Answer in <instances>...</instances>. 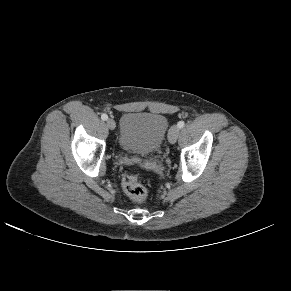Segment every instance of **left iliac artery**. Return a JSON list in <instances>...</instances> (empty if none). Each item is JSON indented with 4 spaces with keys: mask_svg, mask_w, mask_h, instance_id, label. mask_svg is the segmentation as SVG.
<instances>
[{
    "mask_svg": "<svg viewBox=\"0 0 291 291\" xmlns=\"http://www.w3.org/2000/svg\"><path fill=\"white\" fill-rule=\"evenodd\" d=\"M177 126L181 129L185 126V122L184 121H179Z\"/></svg>",
    "mask_w": 291,
    "mask_h": 291,
    "instance_id": "left-iliac-artery-1",
    "label": "left iliac artery"
}]
</instances>
